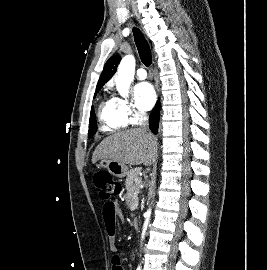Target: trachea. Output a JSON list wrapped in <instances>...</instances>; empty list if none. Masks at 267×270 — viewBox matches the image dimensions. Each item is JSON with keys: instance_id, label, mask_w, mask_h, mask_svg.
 I'll use <instances>...</instances> for the list:
<instances>
[{"instance_id": "obj_1", "label": "trachea", "mask_w": 267, "mask_h": 270, "mask_svg": "<svg viewBox=\"0 0 267 270\" xmlns=\"http://www.w3.org/2000/svg\"><path fill=\"white\" fill-rule=\"evenodd\" d=\"M133 34L140 59L145 66H149L152 62L150 46L139 29L134 28Z\"/></svg>"}]
</instances>
